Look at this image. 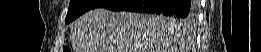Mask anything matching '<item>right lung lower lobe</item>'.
Masks as SVG:
<instances>
[{
  "label": "right lung lower lobe",
  "mask_w": 261,
  "mask_h": 52,
  "mask_svg": "<svg viewBox=\"0 0 261 52\" xmlns=\"http://www.w3.org/2000/svg\"><path fill=\"white\" fill-rule=\"evenodd\" d=\"M101 8L112 11L161 14L181 19H190L195 16V4L188 0H109Z\"/></svg>",
  "instance_id": "right-lung-lower-lobe-1"
}]
</instances>
